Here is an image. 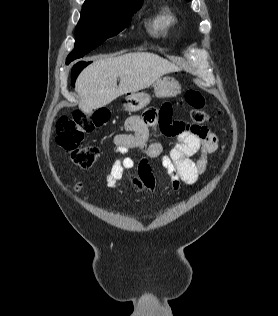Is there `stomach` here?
<instances>
[{
    "label": "stomach",
    "instance_id": "0dacf381",
    "mask_svg": "<svg viewBox=\"0 0 278 316\" xmlns=\"http://www.w3.org/2000/svg\"><path fill=\"white\" fill-rule=\"evenodd\" d=\"M153 86L157 98L174 97L180 90L179 82L172 77L159 78ZM149 102V94L145 92L131 93L125 98L124 108L129 112H135L146 107Z\"/></svg>",
    "mask_w": 278,
    "mask_h": 316
}]
</instances>
